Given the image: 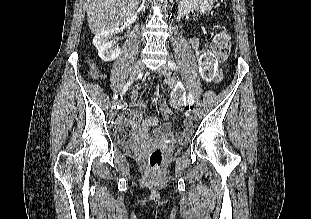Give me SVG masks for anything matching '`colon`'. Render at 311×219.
<instances>
[{"mask_svg":"<svg viewBox=\"0 0 311 219\" xmlns=\"http://www.w3.org/2000/svg\"><path fill=\"white\" fill-rule=\"evenodd\" d=\"M211 39V51L203 53L200 57L202 75L207 80L215 77L217 73V63L227 59L232 46L231 35L225 30L214 32ZM90 73L93 76L97 75V71L93 67L91 68ZM172 102L175 103L176 100H173ZM122 138L126 139L127 137ZM164 160L165 152L160 148L154 149L149 154L148 162L152 170L159 169Z\"/></svg>","mask_w":311,"mask_h":219,"instance_id":"5ec220e1","label":"colon"}]
</instances>
